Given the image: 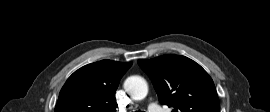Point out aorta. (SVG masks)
<instances>
[{
    "mask_svg": "<svg viewBox=\"0 0 270 112\" xmlns=\"http://www.w3.org/2000/svg\"><path fill=\"white\" fill-rule=\"evenodd\" d=\"M125 91L136 100H141L148 93V85L146 81L139 76L128 77L124 83Z\"/></svg>",
    "mask_w": 270,
    "mask_h": 112,
    "instance_id": "aorta-1",
    "label": "aorta"
}]
</instances>
